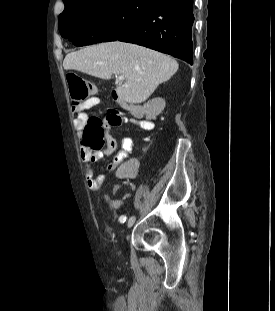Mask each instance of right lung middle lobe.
<instances>
[{
	"instance_id": "dd1d6c3e",
	"label": "right lung middle lobe",
	"mask_w": 275,
	"mask_h": 311,
	"mask_svg": "<svg viewBox=\"0 0 275 311\" xmlns=\"http://www.w3.org/2000/svg\"><path fill=\"white\" fill-rule=\"evenodd\" d=\"M161 0H80L59 15L61 35L76 46L113 41Z\"/></svg>"
}]
</instances>
